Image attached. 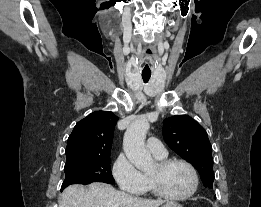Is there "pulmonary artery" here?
Instances as JSON below:
<instances>
[{
    "instance_id": "e3ab8cb5",
    "label": "pulmonary artery",
    "mask_w": 261,
    "mask_h": 207,
    "mask_svg": "<svg viewBox=\"0 0 261 207\" xmlns=\"http://www.w3.org/2000/svg\"><path fill=\"white\" fill-rule=\"evenodd\" d=\"M147 148L156 158H165L167 156V150L157 138H149L147 141Z\"/></svg>"
}]
</instances>
